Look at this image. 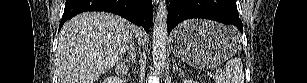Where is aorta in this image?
<instances>
[{
	"instance_id": "aorta-1",
	"label": "aorta",
	"mask_w": 307,
	"mask_h": 83,
	"mask_svg": "<svg viewBox=\"0 0 307 83\" xmlns=\"http://www.w3.org/2000/svg\"><path fill=\"white\" fill-rule=\"evenodd\" d=\"M167 15L165 1H160L154 21L152 42L153 67L157 72H162L166 66Z\"/></svg>"
}]
</instances>
